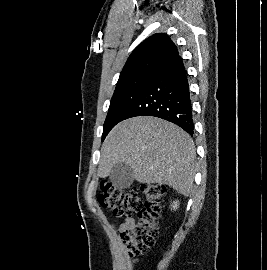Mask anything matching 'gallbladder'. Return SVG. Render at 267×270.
I'll return each instance as SVG.
<instances>
[{
    "mask_svg": "<svg viewBox=\"0 0 267 270\" xmlns=\"http://www.w3.org/2000/svg\"><path fill=\"white\" fill-rule=\"evenodd\" d=\"M109 179L119 189L129 188L134 181L133 169L126 163H117L112 167Z\"/></svg>",
    "mask_w": 267,
    "mask_h": 270,
    "instance_id": "bac80fb5",
    "label": "gallbladder"
}]
</instances>
